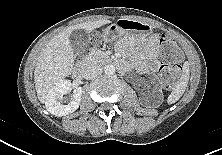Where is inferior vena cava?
<instances>
[{"label": "inferior vena cava", "instance_id": "1", "mask_svg": "<svg viewBox=\"0 0 222 155\" xmlns=\"http://www.w3.org/2000/svg\"><path fill=\"white\" fill-rule=\"evenodd\" d=\"M102 72L103 68L100 65L90 64L85 67L83 71V76L85 79L89 80L100 75Z\"/></svg>", "mask_w": 222, "mask_h": 155}]
</instances>
